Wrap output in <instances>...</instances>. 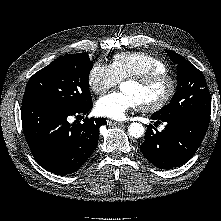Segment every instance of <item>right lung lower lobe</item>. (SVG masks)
Masks as SVG:
<instances>
[{"instance_id":"obj_1","label":"right lung lower lobe","mask_w":221,"mask_h":221,"mask_svg":"<svg viewBox=\"0 0 221 221\" xmlns=\"http://www.w3.org/2000/svg\"><path fill=\"white\" fill-rule=\"evenodd\" d=\"M42 102L22 104V126L35 160L44 169L60 175L76 172L96 149L99 128L105 118L68 122V117L87 113Z\"/></svg>"}]
</instances>
